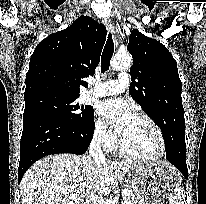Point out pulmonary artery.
I'll use <instances>...</instances> for the list:
<instances>
[{"label":"pulmonary artery","mask_w":206,"mask_h":204,"mask_svg":"<svg viewBox=\"0 0 206 204\" xmlns=\"http://www.w3.org/2000/svg\"><path fill=\"white\" fill-rule=\"evenodd\" d=\"M129 76L127 73L122 72L119 74L118 79L109 80L93 87L89 92V96L102 97L107 95L119 94L123 92L129 85Z\"/></svg>","instance_id":"pulmonary-artery-1"}]
</instances>
